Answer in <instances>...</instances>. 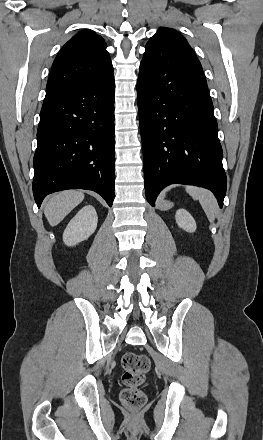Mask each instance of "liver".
<instances>
[{
  "instance_id": "obj_1",
  "label": "liver",
  "mask_w": 263,
  "mask_h": 440,
  "mask_svg": "<svg viewBox=\"0 0 263 440\" xmlns=\"http://www.w3.org/2000/svg\"><path fill=\"white\" fill-rule=\"evenodd\" d=\"M84 199V193L63 191L50 197L44 205V214L51 226L58 225Z\"/></svg>"
}]
</instances>
